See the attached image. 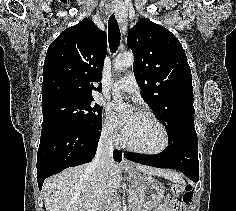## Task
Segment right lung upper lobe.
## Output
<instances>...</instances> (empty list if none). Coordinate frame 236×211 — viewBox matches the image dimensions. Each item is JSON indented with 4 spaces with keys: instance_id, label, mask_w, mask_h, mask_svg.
<instances>
[{
    "instance_id": "right-lung-upper-lobe-1",
    "label": "right lung upper lobe",
    "mask_w": 236,
    "mask_h": 211,
    "mask_svg": "<svg viewBox=\"0 0 236 211\" xmlns=\"http://www.w3.org/2000/svg\"><path fill=\"white\" fill-rule=\"evenodd\" d=\"M106 51V33L91 19L64 30L46 53L42 104L59 98L93 99L92 90L101 91Z\"/></svg>"
}]
</instances>
